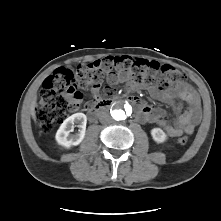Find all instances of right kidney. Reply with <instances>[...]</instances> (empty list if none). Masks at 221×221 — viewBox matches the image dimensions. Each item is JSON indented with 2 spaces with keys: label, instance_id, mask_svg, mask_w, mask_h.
I'll use <instances>...</instances> for the list:
<instances>
[{
  "label": "right kidney",
  "instance_id": "ca27d5eb",
  "mask_svg": "<svg viewBox=\"0 0 221 221\" xmlns=\"http://www.w3.org/2000/svg\"><path fill=\"white\" fill-rule=\"evenodd\" d=\"M86 123L87 117L83 113H76L65 119L57 130L55 136L57 143L67 148L79 145L85 137ZM74 124H78L79 130L75 135H70Z\"/></svg>",
  "mask_w": 221,
  "mask_h": 221
}]
</instances>
